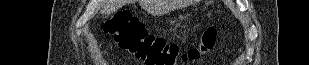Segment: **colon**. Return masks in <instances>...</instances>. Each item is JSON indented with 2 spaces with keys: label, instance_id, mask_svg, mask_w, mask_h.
I'll list each match as a JSON object with an SVG mask.
<instances>
[{
  "label": "colon",
  "instance_id": "1",
  "mask_svg": "<svg viewBox=\"0 0 309 65\" xmlns=\"http://www.w3.org/2000/svg\"><path fill=\"white\" fill-rule=\"evenodd\" d=\"M104 33L114 38L116 45L146 65H176L179 61L193 62L211 51L216 43L217 30L205 29L198 45L182 52L176 44L150 35L140 21L129 11H118L102 22Z\"/></svg>",
  "mask_w": 309,
  "mask_h": 65
}]
</instances>
